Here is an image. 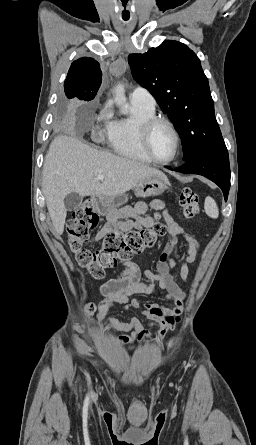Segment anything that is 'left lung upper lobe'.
Instances as JSON below:
<instances>
[{
	"label": "left lung upper lobe",
	"instance_id": "1",
	"mask_svg": "<svg viewBox=\"0 0 256 445\" xmlns=\"http://www.w3.org/2000/svg\"><path fill=\"white\" fill-rule=\"evenodd\" d=\"M133 78L156 99L175 124L184 161L214 150H227L214 114V102L197 55L168 40L128 58Z\"/></svg>",
	"mask_w": 256,
	"mask_h": 445
}]
</instances>
